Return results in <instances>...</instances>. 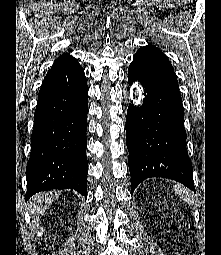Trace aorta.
I'll return each mask as SVG.
<instances>
[{"mask_svg": "<svg viewBox=\"0 0 221 255\" xmlns=\"http://www.w3.org/2000/svg\"><path fill=\"white\" fill-rule=\"evenodd\" d=\"M136 93L138 94L139 92H138V91H135V94H136Z\"/></svg>", "mask_w": 221, "mask_h": 255, "instance_id": "aorta-1", "label": "aorta"}]
</instances>
